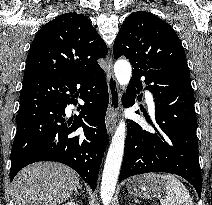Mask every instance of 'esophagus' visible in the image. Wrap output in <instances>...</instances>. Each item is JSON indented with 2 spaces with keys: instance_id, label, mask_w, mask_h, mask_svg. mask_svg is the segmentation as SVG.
<instances>
[{
  "instance_id": "1",
  "label": "esophagus",
  "mask_w": 212,
  "mask_h": 205,
  "mask_svg": "<svg viewBox=\"0 0 212 205\" xmlns=\"http://www.w3.org/2000/svg\"><path fill=\"white\" fill-rule=\"evenodd\" d=\"M106 77L109 90V118L107 121V131L108 134H112L116 127V118L114 117V113L119 109L121 95L113 73V62L111 57H108L107 59ZM111 114H113V116H111Z\"/></svg>"
}]
</instances>
